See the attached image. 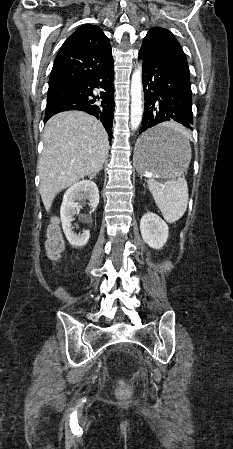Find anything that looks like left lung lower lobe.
<instances>
[{
    "instance_id": "1",
    "label": "left lung lower lobe",
    "mask_w": 233,
    "mask_h": 449,
    "mask_svg": "<svg viewBox=\"0 0 233 449\" xmlns=\"http://www.w3.org/2000/svg\"><path fill=\"white\" fill-rule=\"evenodd\" d=\"M144 114L139 134L144 133L140 148L149 152L181 144L176 134H153L150 128L164 121H176L185 127L193 124L192 91L189 77L161 63L140 49Z\"/></svg>"
}]
</instances>
